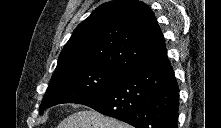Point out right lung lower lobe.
I'll use <instances>...</instances> for the list:
<instances>
[{"instance_id":"right-lung-lower-lobe-1","label":"right lung lower lobe","mask_w":221,"mask_h":128,"mask_svg":"<svg viewBox=\"0 0 221 128\" xmlns=\"http://www.w3.org/2000/svg\"><path fill=\"white\" fill-rule=\"evenodd\" d=\"M179 87L166 52L78 102L135 128H178Z\"/></svg>"}]
</instances>
